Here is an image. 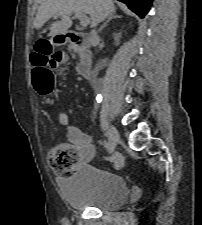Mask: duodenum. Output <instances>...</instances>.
I'll return each mask as SVG.
<instances>
[{
	"instance_id": "duodenum-1",
	"label": "duodenum",
	"mask_w": 202,
	"mask_h": 225,
	"mask_svg": "<svg viewBox=\"0 0 202 225\" xmlns=\"http://www.w3.org/2000/svg\"><path fill=\"white\" fill-rule=\"evenodd\" d=\"M54 39L60 44H69L82 56V61L77 66L78 74L89 78L92 76L91 55L86 50L88 36L85 33L68 31L55 35Z\"/></svg>"
}]
</instances>
